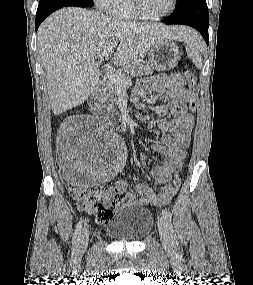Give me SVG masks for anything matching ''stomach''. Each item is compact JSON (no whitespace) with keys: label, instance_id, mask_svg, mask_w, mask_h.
<instances>
[{"label":"stomach","instance_id":"obj_1","mask_svg":"<svg viewBox=\"0 0 253 285\" xmlns=\"http://www.w3.org/2000/svg\"><path fill=\"white\" fill-rule=\"evenodd\" d=\"M150 66L159 71L173 69L181 59L179 47L171 40H163L148 51Z\"/></svg>","mask_w":253,"mask_h":285}]
</instances>
